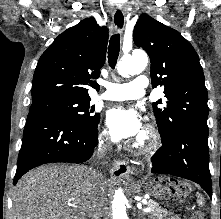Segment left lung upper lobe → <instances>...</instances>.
Listing matches in <instances>:
<instances>
[{"label":"left lung upper lobe","instance_id":"5c2ea615","mask_svg":"<svg viewBox=\"0 0 221 219\" xmlns=\"http://www.w3.org/2000/svg\"><path fill=\"white\" fill-rule=\"evenodd\" d=\"M133 39L150 57L153 88H165L166 100L152 104L161 138L188 125L208 130V94L192 45L178 31L147 14L139 17ZM161 104L165 107L158 106Z\"/></svg>","mask_w":221,"mask_h":219}]
</instances>
